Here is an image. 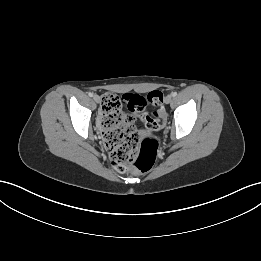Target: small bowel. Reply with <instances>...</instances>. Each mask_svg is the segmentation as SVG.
Wrapping results in <instances>:
<instances>
[{
	"instance_id": "obj_1",
	"label": "small bowel",
	"mask_w": 261,
	"mask_h": 261,
	"mask_svg": "<svg viewBox=\"0 0 261 261\" xmlns=\"http://www.w3.org/2000/svg\"><path fill=\"white\" fill-rule=\"evenodd\" d=\"M131 112V111H130ZM143 112H145L144 110H142V113ZM136 118H138V119H140V115L139 116H134V115H132V113H131V115H130V117H129V120L131 121V122H133Z\"/></svg>"
}]
</instances>
